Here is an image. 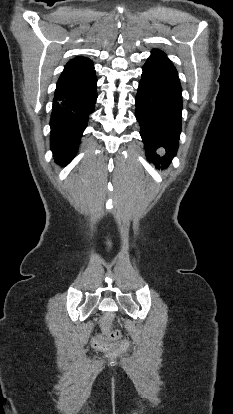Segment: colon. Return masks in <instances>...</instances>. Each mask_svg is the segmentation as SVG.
Here are the masks:
<instances>
[{"label":"colon","mask_w":233,"mask_h":414,"mask_svg":"<svg viewBox=\"0 0 233 414\" xmlns=\"http://www.w3.org/2000/svg\"><path fill=\"white\" fill-rule=\"evenodd\" d=\"M101 324L104 332L102 334H98L95 337L93 345L98 350H101L107 354H112L116 352L119 349V347L116 345H112L110 342L113 340L120 339L122 334L119 330H112V313L105 314L101 320Z\"/></svg>","instance_id":"5ec220e1"}]
</instances>
